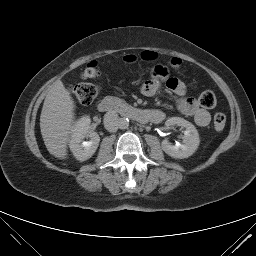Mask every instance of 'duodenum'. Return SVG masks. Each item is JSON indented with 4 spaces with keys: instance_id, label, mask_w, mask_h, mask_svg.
Wrapping results in <instances>:
<instances>
[{
    "instance_id": "410a0bca",
    "label": "duodenum",
    "mask_w": 256,
    "mask_h": 256,
    "mask_svg": "<svg viewBox=\"0 0 256 256\" xmlns=\"http://www.w3.org/2000/svg\"><path fill=\"white\" fill-rule=\"evenodd\" d=\"M100 112H119L139 123L159 122L162 115L156 111H150L130 106L115 97H106L98 104Z\"/></svg>"
}]
</instances>
